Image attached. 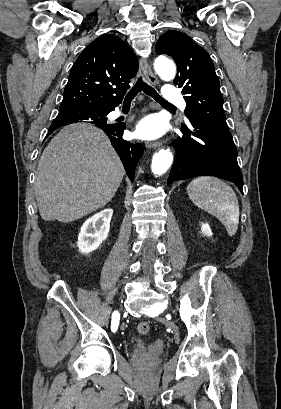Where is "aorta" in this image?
Returning a JSON list of instances; mask_svg holds the SVG:
<instances>
[{"mask_svg":"<svg viewBox=\"0 0 281 409\" xmlns=\"http://www.w3.org/2000/svg\"><path fill=\"white\" fill-rule=\"evenodd\" d=\"M154 69L163 80L170 81L175 77V64L166 57L157 58L154 62ZM172 161L173 155L169 149L160 150L153 156L151 170L155 175L160 176L170 168Z\"/></svg>","mask_w":281,"mask_h":409,"instance_id":"762f6f07","label":"aorta"}]
</instances>
